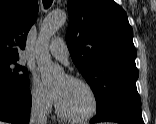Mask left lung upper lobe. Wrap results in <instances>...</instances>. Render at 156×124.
I'll list each match as a JSON object with an SVG mask.
<instances>
[{
    "label": "left lung upper lobe",
    "mask_w": 156,
    "mask_h": 124,
    "mask_svg": "<svg viewBox=\"0 0 156 124\" xmlns=\"http://www.w3.org/2000/svg\"><path fill=\"white\" fill-rule=\"evenodd\" d=\"M66 42L97 103V114L112 106L141 110L133 30L113 0H68Z\"/></svg>",
    "instance_id": "left-lung-upper-lobe-1"
}]
</instances>
